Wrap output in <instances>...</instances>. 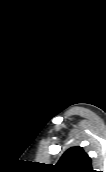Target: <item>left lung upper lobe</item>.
I'll use <instances>...</instances> for the list:
<instances>
[{"label":"left lung upper lobe","instance_id":"left-lung-upper-lobe-1","mask_svg":"<svg viewBox=\"0 0 106 172\" xmlns=\"http://www.w3.org/2000/svg\"><path fill=\"white\" fill-rule=\"evenodd\" d=\"M55 172H95L90 157L81 147L68 149L55 166Z\"/></svg>","mask_w":106,"mask_h":172}]
</instances>
